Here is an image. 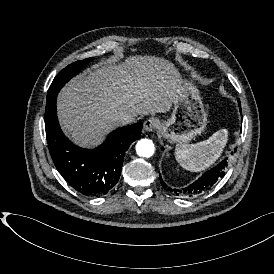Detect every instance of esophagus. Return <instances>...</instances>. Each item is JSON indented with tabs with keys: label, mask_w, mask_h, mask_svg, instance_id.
I'll list each match as a JSON object with an SVG mask.
<instances>
[{
	"label": "esophagus",
	"mask_w": 274,
	"mask_h": 274,
	"mask_svg": "<svg viewBox=\"0 0 274 274\" xmlns=\"http://www.w3.org/2000/svg\"><path fill=\"white\" fill-rule=\"evenodd\" d=\"M158 126V120L149 118L144 122L143 129L146 132L153 131Z\"/></svg>",
	"instance_id": "esophagus-1"
}]
</instances>
